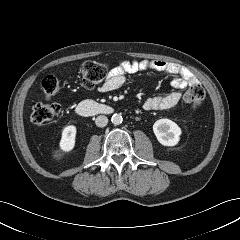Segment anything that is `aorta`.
<instances>
[{
    "mask_svg": "<svg viewBox=\"0 0 240 240\" xmlns=\"http://www.w3.org/2000/svg\"><path fill=\"white\" fill-rule=\"evenodd\" d=\"M123 121V118L121 116V114H113L112 117H111V122L114 124V125H120Z\"/></svg>",
    "mask_w": 240,
    "mask_h": 240,
    "instance_id": "obj_1",
    "label": "aorta"
}]
</instances>
